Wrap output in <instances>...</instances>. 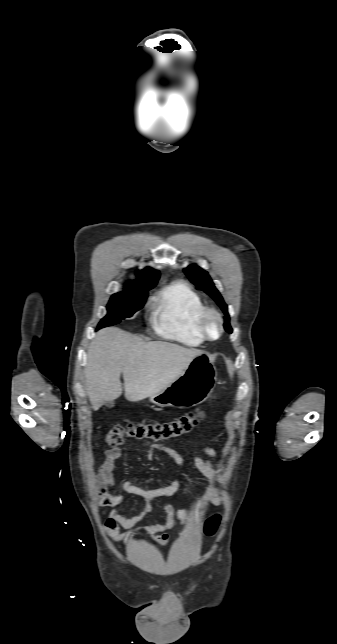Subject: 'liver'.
<instances>
[{
  "label": "liver",
  "instance_id": "liver-1",
  "mask_svg": "<svg viewBox=\"0 0 337 644\" xmlns=\"http://www.w3.org/2000/svg\"><path fill=\"white\" fill-rule=\"evenodd\" d=\"M200 353L174 343L145 342L115 327L100 330L87 351L85 368V387L93 410L120 397L121 373L125 398L141 401L172 384Z\"/></svg>",
  "mask_w": 337,
  "mask_h": 644
}]
</instances>
